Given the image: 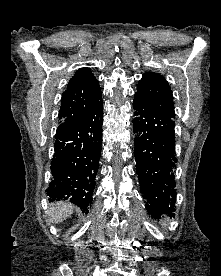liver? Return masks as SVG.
Masks as SVG:
<instances>
[{
    "label": "liver",
    "instance_id": "liver-1",
    "mask_svg": "<svg viewBox=\"0 0 221 276\" xmlns=\"http://www.w3.org/2000/svg\"><path fill=\"white\" fill-rule=\"evenodd\" d=\"M74 206L70 203L61 201L51 204L49 216L52 223H61L71 216Z\"/></svg>",
    "mask_w": 221,
    "mask_h": 276
}]
</instances>
